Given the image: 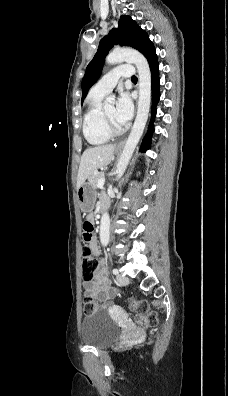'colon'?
<instances>
[{
	"label": "colon",
	"mask_w": 228,
	"mask_h": 396,
	"mask_svg": "<svg viewBox=\"0 0 228 396\" xmlns=\"http://www.w3.org/2000/svg\"><path fill=\"white\" fill-rule=\"evenodd\" d=\"M83 233L84 245L82 248V278L85 282H91L94 278V273L98 267V261L90 250L89 243L93 238V225L90 221H85ZM131 309L135 313L136 321L139 325L145 328L155 329L158 325L157 314L150 310L149 304L146 300L133 301L130 304ZM99 309L98 302L90 296H86L83 302V311L90 314Z\"/></svg>",
	"instance_id": "5ec220e1"
}]
</instances>
